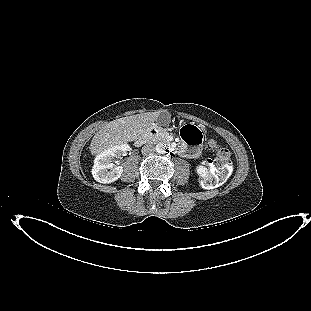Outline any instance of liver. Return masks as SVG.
<instances>
[{
	"instance_id": "6515ba94",
	"label": "liver",
	"mask_w": 311,
	"mask_h": 311,
	"mask_svg": "<svg viewBox=\"0 0 311 311\" xmlns=\"http://www.w3.org/2000/svg\"><path fill=\"white\" fill-rule=\"evenodd\" d=\"M158 116V112H148L107 123L94 135L90 144L91 154L98 155L113 146L138 139L144 135Z\"/></svg>"
}]
</instances>
